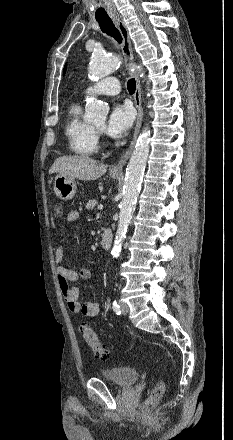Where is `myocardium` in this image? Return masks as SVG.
I'll return each mask as SVG.
<instances>
[{
	"mask_svg": "<svg viewBox=\"0 0 233 440\" xmlns=\"http://www.w3.org/2000/svg\"><path fill=\"white\" fill-rule=\"evenodd\" d=\"M93 128H94L97 135H100L103 133V129L97 128L96 126H93Z\"/></svg>",
	"mask_w": 233,
	"mask_h": 440,
	"instance_id": "f54148a6",
	"label": "myocardium"
}]
</instances>
